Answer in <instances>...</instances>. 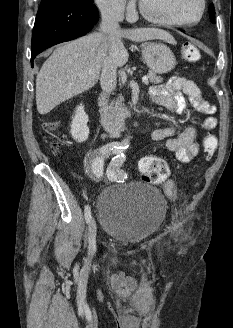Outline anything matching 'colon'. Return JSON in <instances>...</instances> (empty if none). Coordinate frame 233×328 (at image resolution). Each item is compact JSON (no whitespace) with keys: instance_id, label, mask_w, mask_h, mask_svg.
<instances>
[{"instance_id":"1","label":"colon","mask_w":233,"mask_h":328,"mask_svg":"<svg viewBox=\"0 0 233 328\" xmlns=\"http://www.w3.org/2000/svg\"><path fill=\"white\" fill-rule=\"evenodd\" d=\"M183 56L188 61H197L200 58L199 50L191 43H186L183 46ZM49 131H53L56 128L55 123H50L47 125ZM65 143V139L62 137H55L51 143L50 147L53 150H60ZM204 150L206 152L207 158L211 157L217 147V139L214 135L208 134L204 139ZM139 168L142 173V178L148 183H161L163 182L168 174L169 168L165 161L156 156H145L140 160Z\"/></svg>"}]
</instances>
